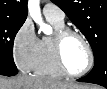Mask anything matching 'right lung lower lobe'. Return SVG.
<instances>
[{"instance_id":"obj_1","label":"right lung lower lobe","mask_w":107,"mask_h":89,"mask_svg":"<svg viewBox=\"0 0 107 89\" xmlns=\"http://www.w3.org/2000/svg\"><path fill=\"white\" fill-rule=\"evenodd\" d=\"M18 73V72H17ZM17 73H10V72H0L1 75H6V76H14Z\"/></svg>"}]
</instances>
